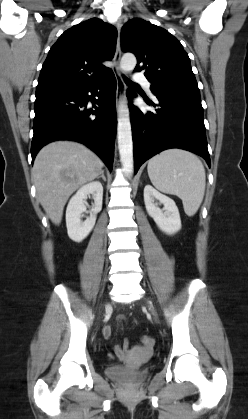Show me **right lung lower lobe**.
<instances>
[{"instance_id": "right-lung-lower-lobe-1", "label": "right lung lower lobe", "mask_w": 248, "mask_h": 419, "mask_svg": "<svg viewBox=\"0 0 248 419\" xmlns=\"http://www.w3.org/2000/svg\"><path fill=\"white\" fill-rule=\"evenodd\" d=\"M116 78L109 71L100 80L72 90L36 94L32 161L55 140H74L96 152L112 170L116 132ZM88 101L94 109H88Z\"/></svg>"}]
</instances>
